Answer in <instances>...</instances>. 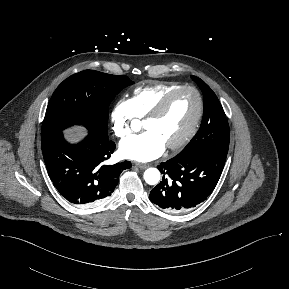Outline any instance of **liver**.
Instances as JSON below:
<instances>
[{
    "instance_id": "liver-1",
    "label": "liver",
    "mask_w": 289,
    "mask_h": 289,
    "mask_svg": "<svg viewBox=\"0 0 289 289\" xmlns=\"http://www.w3.org/2000/svg\"><path fill=\"white\" fill-rule=\"evenodd\" d=\"M65 134L69 140L76 141L80 137L85 136L86 132L84 131V129L77 127V128L65 131Z\"/></svg>"
}]
</instances>
